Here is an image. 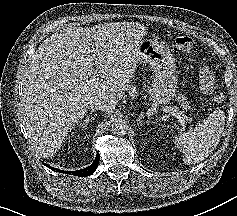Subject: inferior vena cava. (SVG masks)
I'll list each match as a JSON object with an SVG mask.
<instances>
[{
	"mask_svg": "<svg viewBox=\"0 0 237 216\" xmlns=\"http://www.w3.org/2000/svg\"><path fill=\"white\" fill-rule=\"evenodd\" d=\"M88 107H90L91 109H95V110H100V111H104V112H113L115 105L110 104L107 96H100L97 98H93L88 104Z\"/></svg>",
	"mask_w": 237,
	"mask_h": 216,
	"instance_id": "1",
	"label": "inferior vena cava"
}]
</instances>
